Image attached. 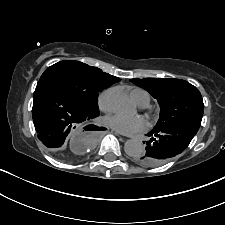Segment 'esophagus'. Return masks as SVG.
I'll return each instance as SVG.
<instances>
[{"label":"esophagus","mask_w":225,"mask_h":225,"mask_svg":"<svg viewBox=\"0 0 225 225\" xmlns=\"http://www.w3.org/2000/svg\"><path fill=\"white\" fill-rule=\"evenodd\" d=\"M117 135H122L121 133L117 132V131H114Z\"/></svg>","instance_id":"1"}]
</instances>
